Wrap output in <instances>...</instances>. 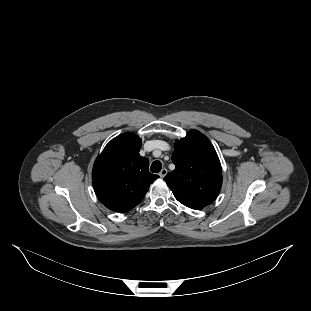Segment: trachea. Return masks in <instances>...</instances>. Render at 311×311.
Masks as SVG:
<instances>
[{
    "label": "trachea",
    "mask_w": 311,
    "mask_h": 311,
    "mask_svg": "<svg viewBox=\"0 0 311 311\" xmlns=\"http://www.w3.org/2000/svg\"><path fill=\"white\" fill-rule=\"evenodd\" d=\"M162 168V164L160 161H154L152 164H151V167H150V170L153 172V173H158Z\"/></svg>",
    "instance_id": "obj_1"
}]
</instances>
